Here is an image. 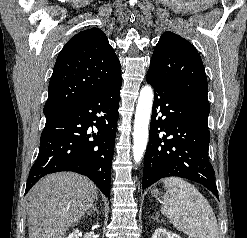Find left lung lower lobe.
<instances>
[{
    "label": "left lung lower lobe",
    "mask_w": 247,
    "mask_h": 238,
    "mask_svg": "<svg viewBox=\"0 0 247 238\" xmlns=\"http://www.w3.org/2000/svg\"><path fill=\"white\" fill-rule=\"evenodd\" d=\"M146 80L154 88L155 96L144 159L143 189L161 178L177 176L204 185L219 198L214 169L208 159L209 112L171 90L154 74L148 72Z\"/></svg>",
    "instance_id": "1"
}]
</instances>
